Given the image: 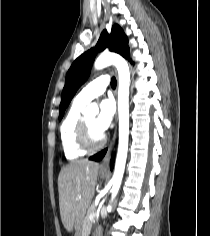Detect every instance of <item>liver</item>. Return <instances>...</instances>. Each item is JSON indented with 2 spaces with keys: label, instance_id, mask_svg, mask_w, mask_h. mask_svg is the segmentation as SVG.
<instances>
[{
  "label": "liver",
  "instance_id": "liver-1",
  "mask_svg": "<svg viewBox=\"0 0 210 236\" xmlns=\"http://www.w3.org/2000/svg\"><path fill=\"white\" fill-rule=\"evenodd\" d=\"M98 170V163L84 159L63 167L59 173L60 215L68 232L77 230L83 221L95 195Z\"/></svg>",
  "mask_w": 210,
  "mask_h": 236
}]
</instances>
